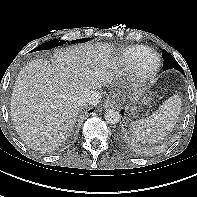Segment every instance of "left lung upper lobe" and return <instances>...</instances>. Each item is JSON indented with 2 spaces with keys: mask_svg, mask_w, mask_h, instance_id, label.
Returning a JSON list of instances; mask_svg holds the SVG:
<instances>
[{
  "mask_svg": "<svg viewBox=\"0 0 197 197\" xmlns=\"http://www.w3.org/2000/svg\"><path fill=\"white\" fill-rule=\"evenodd\" d=\"M162 55H163V71L164 70H168V69H177L180 72L184 73V70L182 69V67L178 64V62L174 59V57L169 54L167 51L163 50L162 51Z\"/></svg>",
  "mask_w": 197,
  "mask_h": 197,
  "instance_id": "1",
  "label": "left lung upper lobe"
}]
</instances>
